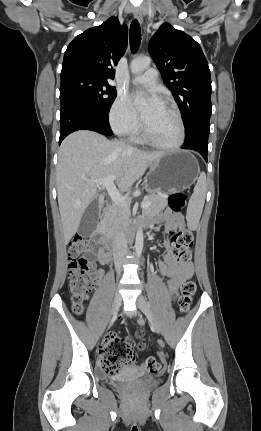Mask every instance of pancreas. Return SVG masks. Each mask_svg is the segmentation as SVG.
<instances>
[{
    "instance_id": "pancreas-1",
    "label": "pancreas",
    "mask_w": 261,
    "mask_h": 431,
    "mask_svg": "<svg viewBox=\"0 0 261 431\" xmlns=\"http://www.w3.org/2000/svg\"><path fill=\"white\" fill-rule=\"evenodd\" d=\"M150 205L143 209V214L156 213L163 210L168 204V196L163 194H150L144 198ZM128 208L117 204L112 205L105 218V223L109 230L114 231L120 225L125 224L129 218Z\"/></svg>"
}]
</instances>
